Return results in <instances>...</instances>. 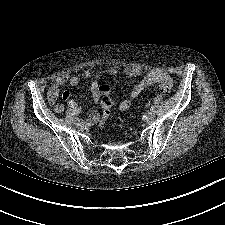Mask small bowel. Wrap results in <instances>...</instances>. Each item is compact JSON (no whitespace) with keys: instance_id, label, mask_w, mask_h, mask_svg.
<instances>
[{"instance_id":"obj_1","label":"small bowel","mask_w":225,"mask_h":225,"mask_svg":"<svg viewBox=\"0 0 225 225\" xmlns=\"http://www.w3.org/2000/svg\"><path fill=\"white\" fill-rule=\"evenodd\" d=\"M123 72L130 78L140 76L144 73V71L139 67H128L124 69ZM117 73L118 68L116 67H109L105 70L87 69L81 74L73 76L70 75L68 70H62L54 77L53 82L48 89V101L51 105H53L56 113H61L63 106L57 103L60 94V87L65 83H68L71 87H78L83 79H93L87 90L95 102L101 100L102 103L103 99L108 98V95L110 94V87L106 84H100L98 80L102 74L115 75ZM156 83H165L171 86L173 84V79L168 73L159 69L146 72L144 76L133 86L128 96L119 103V109L122 111L129 109L133 101L144 89ZM69 97L70 92L68 90L64 91L62 98L66 100ZM98 118L99 113L94 112L90 115L88 121L90 124H94Z\"/></svg>"}]
</instances>
